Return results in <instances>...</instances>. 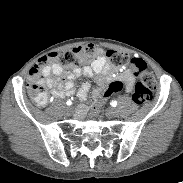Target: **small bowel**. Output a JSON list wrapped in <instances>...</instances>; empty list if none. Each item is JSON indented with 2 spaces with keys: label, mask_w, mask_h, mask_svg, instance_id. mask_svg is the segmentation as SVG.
<instances>
[{
  "label": "small bowel",
  "mask_w": 183,
  "mask_h": 183,
  "mask_svg": "<svg viewBox=\"0 0 183 183\" xmlns=\"http://www.w3.org/2000/svg\"><path fill=\"white\" fill-rule=\"evenodd\" d=\"M43 73L46 76H64L67 78L65 82H60L52 77L47 80L48 86L52 88L53 94L56 97L72 95L76 90V83L74 80L81 75L88 77L95 76L96 83L99 86L94 90V96L96 98L100 96L101 89L106 86L108 88L111 82L122 81L125 84L124 91L126 92H131L135 84V77L132 71L126 70L120 74H116L107 63L101 49H98V54L90 65L77 67L73 70H65L62 67L53 64L50 67L45 68ZM89 90L90 84L88 82H83L77 92L80 101H85Z\"/></svg>",
  "instance_id": "1"
}]
</instances>
